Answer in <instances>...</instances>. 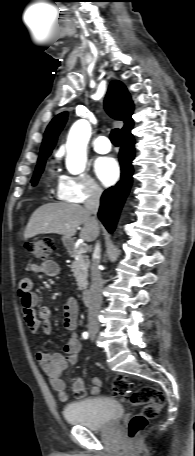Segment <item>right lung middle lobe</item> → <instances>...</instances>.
Segmentation results:
<instances>
[{
	"label": "right lung middle lobe",
	"mask_w": 195,
	"mask_h": 456,
	"mask_svg": "<svg viewBox=\"0 0 195 456\" xmlns=\"http://www.w3.org/2000/svg\"><path fill=\"white\" fill-rule=\"evenodd\" d=\"M46 158L47 157H43L41 159L38 160V164H37V167H36V170H35V173H34V176L31 180L32 184L35 186L37 184V181L44 169V165H45V161H46Z\"/></svg>",
	"instance_id": "1"
}]
</instances>
